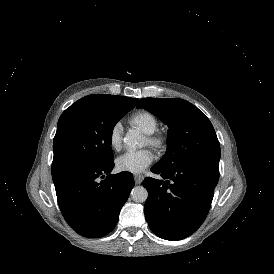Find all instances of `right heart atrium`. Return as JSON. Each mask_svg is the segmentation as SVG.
<instances>
[{
    "label": "right heart atrium",
    "mask_w": 274,
    "mask_h": 274,
    "mask_svg": "<svg viewBox=\"0 0 274 274\" xmlns=\"http://www.w3.org/2000/svg\"><path fill=\"white\" fill-rule=\"evenodd\" d=\"M121 134H120V125L115 124L111 127L109 131V145L111 149L117 151L121 147Z\"/></svg>",
    "instance_id": "d8ad5b80"
}]
</instances>
